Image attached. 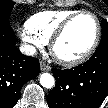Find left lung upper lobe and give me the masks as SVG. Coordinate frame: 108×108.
<instances>
[{"label":"left lung upper lobe","mask_w":108,"mask_h":108,"mask_svg":"<svg viewBox=\"0 0 108 108\" xmlns=\"http://www.w3.org/2000/svg\"><path fill=\"white\" fill-rule=\"evenodd\" d=\"M101 25H102V38L96 51L102 50L108 52V22L106 20H102Z\"/></svg>","instance_id":"1"}]
</instances>
